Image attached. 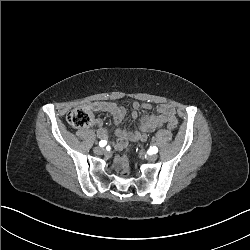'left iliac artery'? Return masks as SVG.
I'll use <instances>...</instances> for the list:
<instances>
[{"label": "left iliac artery", "instance_id": "44dca946", "mask_svg": "<svg viewBox=\"0 0 250 250\" xmlns=\"http://www.w3.org/2000/svg\"><path fill=\"white\" fill-rule=\"evenodd\" d=\"M158 152V148L156 146L150 147V153L156 154Z\"/></svg>", "mask_w": 250, "mask_h": 250}]
</instances>
